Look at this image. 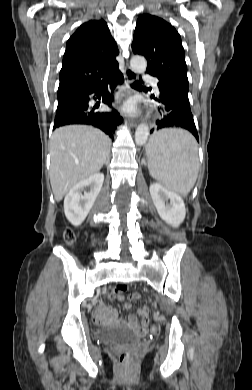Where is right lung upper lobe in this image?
Wrapping results in <instances>:
<instances>
[{"instance_id": "obj_1", "label": "right lung upper lobe", "mask_w": 252, "mask_h": 390, "mask_svg": "<svg viewBox=\"0 0 252 390\" xmlns=\"http://www.w3.org/2000/svg\"><path fill=\"white\" fill-rule=\"evenodd\" d=\"M118 47L104 20L82 24L69 38L60 71L58 101L101 84L119 69Z\"/></svg>"}]
</instances>
